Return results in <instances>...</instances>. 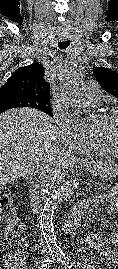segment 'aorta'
<instances>
[{"mask_svg": "<svg viewBox=\"0 0 118 269\" xmlns=\"http://www.w3.org/2000/svg\"><path fill=\"white\" fill-rule=\"evenodd\" d=\"M84 74L78 67H72L60 79L61 94L75 115L77 121L85 127L92 125V118L88 111L77 107L76 99L81 93ZM75 183L68 181L57 188L50 198L45 202L41 220L40 229L48 248L53 252H58L59 247L53 226V217L58 205L74 194Z\"/></svg>", "mask_w": 118, "mask_h": 269, "instance_id": "762f6f07", "label": "aorta"}]
</instances>
